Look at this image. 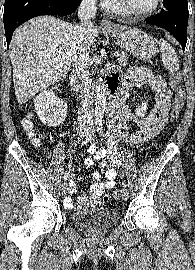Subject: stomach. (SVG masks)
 Returning <instances> with one entry per match:
<instances>
[{
	"instance_id": "1",
	"label": "stomach",
	"mask_w": 195,
	"mask_h": 270,
	"mask_svg": "<svg viewBox=\"0 0 195 270\" xmlns=\"http://www.w3.org/2000/svg\"><path fill=\"white\" fill-rule=\"evenodd\" d=\"M107 33L114 38L120 48L138 59H150L157 52L155 40L137 28L116 27L114 30H107Z\"/></svg>"
}]
</instances>
